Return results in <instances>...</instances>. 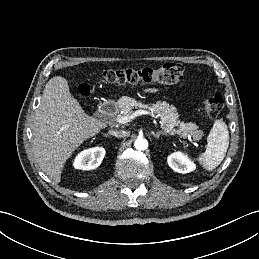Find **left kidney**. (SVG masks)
I'll use <instances>...</instances> for the list:
<instances>
[{
  "mask_svg": "<svg viewBox=\"0 0 259 259\" xmlns=\"http://www.w3.org/2000/svg\"><path fill=\"white\" fill-rule=\"evenodd\" d=\"M168 165L178 173H189L195 170V164L183 153L174 152L167 159Z\"/></svg>",
  "mask_w": 259,
  "mask_h": 259,
  "instance_id": "5707ae66",
  "label": "left kidney"
}]
</instances>
